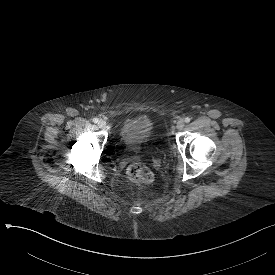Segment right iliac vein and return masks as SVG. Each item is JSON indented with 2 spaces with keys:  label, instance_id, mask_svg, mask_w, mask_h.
I'll return each instance as SVG.
<instances>
[{
  "label": "right iliac vein",
  "instance_id": "63e3f726",
  "mask_svg": "<svg viewBox=\"0 0 275 275\" xmlns=\"http://www.w3.org/2000/svg\"><path fill=\"white\" fill-rule=\"evenodd\" d=\"M98 126H99L100 128H105L106 122H105L104 120H100V121L98 122Z\"/></svg>",
  "mask_w": 275,
  "mask_h": 275
}]
</instances>
